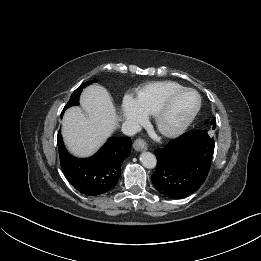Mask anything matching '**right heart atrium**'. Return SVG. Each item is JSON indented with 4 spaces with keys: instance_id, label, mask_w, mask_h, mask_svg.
Wrapping results in <instances>:
<instances>
[{
    "instance_id": "right-heart-atrium-1",
    "label": "right heart atrium",
    "mask_w": 261,
    "mask_h": 261,
    "mask_svg": "<svg viewBox=\"0 0 261 261\" xmlns=\"http://www.w3.org/2000/svg\"><path fill=\"white\" fill-rule=\"evenodd\" d=\"M122 112L125 119L133 126H139L146 121V115L139 109L131 96H126L122 103Z\"/></svg>"
}]
</instances>
